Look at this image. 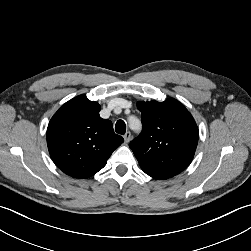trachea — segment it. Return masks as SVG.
Listing matches in <instances>:
<instances>
[{"instance_id": "trachea-1", "label": "trachea", "mask_w": 251, "mask_h": 251, "mask_svg": "<svg viewBox=\"0 0 251 251\" xmlns=\"http://www.w3.org/2000/svg\"><path fill=\"white\" fill-rule=\"evenodd\" d=\"M115 131L118 134H125L126 132V124L123 120H118L115 124Z\"/></svg>"}]
</instances>
